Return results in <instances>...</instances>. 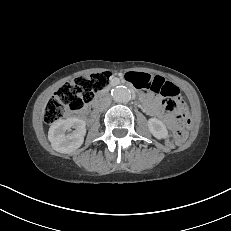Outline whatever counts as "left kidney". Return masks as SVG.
<instances>
[{"label": "left kidney", "mask_w": 231, "mask_h": 231, "mask_svg": "<svg viewBox=\"0 0 231 231\" xmlns=\"http://www.w3.org/2000/svg\"><path fill=\"white\" fill-rule=\"evenodd\" d=\"M148 128L151 134L157 139H165L168 137L166 126L157 118H150L148 120Z\"/></svg>", "instance_id": "1"}]
</instances>
